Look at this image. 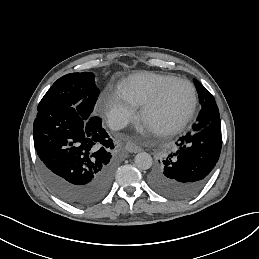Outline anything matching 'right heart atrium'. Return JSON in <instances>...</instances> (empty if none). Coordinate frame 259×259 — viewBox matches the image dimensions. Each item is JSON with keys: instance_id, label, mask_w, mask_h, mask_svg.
<instances>
[{"instance_id": "obj_1", "label": "right heart atrium", "mask_w": 259, "mask_h": 259, "mask_svg": "<svg viewBox=\"0 0 259 259\" xmlns=\"http://www.w3.org/2000/svg\"><path fill=\"white\" fill-rule=\"evenodd\" d=\"M102 116L115 128H122L136 120L140 106L122 88L106 86L99 97Z\"/></svg>"}]
</instances>
